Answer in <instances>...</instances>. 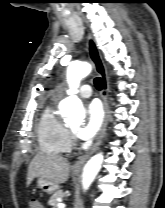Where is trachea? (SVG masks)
Instances as JSON below:
<instances>
[{"label": "trachea", "instance_id": "trachea-1", "mask_svg": "<svg viewBox=\"0 0 165 208\" xmlns=\"http://www.w3.org/2000/svg\"><path fill=\"white\" fill-rule=\"evenodd\" d=\"M94 84H95V87L98 89V90H101L102 89V80L100 77H96L94 79Z\"/></svg>", "mask_w": 165, "mask_h": 208}]
</instances>
